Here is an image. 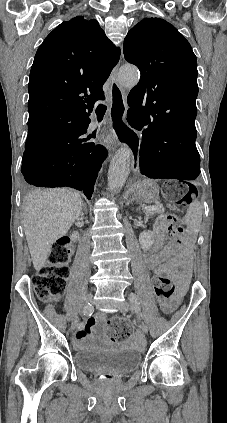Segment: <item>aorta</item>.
<instances>
[{
    "mask_svg": "<svg viewBox=\"0 0 227 423\" xmlns=\"http://www.w3.org/2000/svg\"><path fill=\"white\" fill-rule=\"evenodd\" d=\"M140 78L134 66H123L119 70V83L126 87L135 86ZM131 152L128 148L119 149L111 159L108 170V186L110 191H119L125 184L130 172Z\"/></svg>",
    "mask_w": 227,
    "mask_h": 423,
    "instance_id": "aorta-1",
    "label": "aorta"
}]
</instances>
